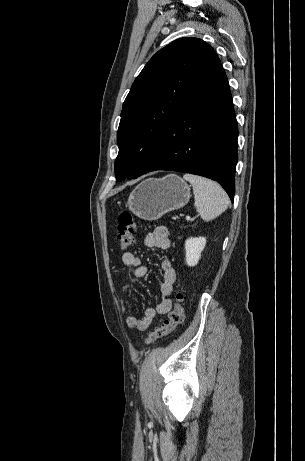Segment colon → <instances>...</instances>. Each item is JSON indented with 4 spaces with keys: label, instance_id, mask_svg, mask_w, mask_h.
I'll use <instances>...</instances> for the list:
<instances>
[{
    "label": "colon",
    "instance_id": "5ec220e1",
    "mask_svg": "<svg viewBox=\"0 0 305 461\" xmlns=\"http://www.w3.org/2000/svg\"><path fill=\"white\" fill-rule=\"evenodd\" d=\"M135 223L130 212L124 211L118 218L117 238L122 249L129 248L134 241ZM182 294L178 293L175 296L173 309L168 315V318L162 325L152 331L146 338L145 343L151 344L159 339H162L175 331V329L183 324L185 316L182 307Z\"/></svg>",
    "mask_w": 305,
    "mask_h": 461
}]
</instances>
